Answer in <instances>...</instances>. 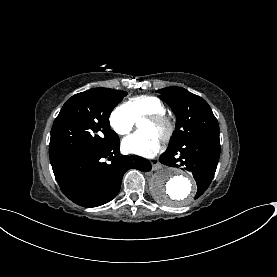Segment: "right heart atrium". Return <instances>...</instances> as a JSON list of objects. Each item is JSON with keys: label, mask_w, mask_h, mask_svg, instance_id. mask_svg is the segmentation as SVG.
<instances>
[{"label": "right heart atrium", "mask_w": 277, "mask_h": 277, "mask_svg": "<svg viewBox=\"0 0 277 277\" xmlns=\"http://www.w3.org/2000/svg\"><path fill=\"white\" fill-rule=\"evenodd\" d=\"M109 122L117 134L127 135L133 129L135 119L127 106L119 105L112 111Z\"/></svg>", "instance_id": "right-heart-atrium-1"}]
</instances>
